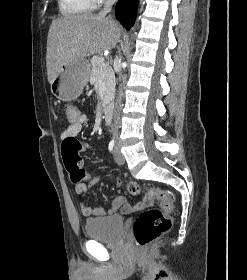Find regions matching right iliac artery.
<instances>
[{"mask_svg": "<svg viewBox=\"0 0 247 280\" xmlns=\"http://www.w3.org/2000/svg\"><path fill=\"white\" fill-rule=\"evenodd\" d=\"M115 149V140H111L110 143H109V151L110 152H113Z\"/></svg>", "mask_w": 247, "mask_h": 280, "instance_id": "1", "label": "right iliac artery"}]
</instances>
